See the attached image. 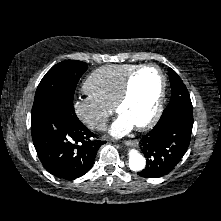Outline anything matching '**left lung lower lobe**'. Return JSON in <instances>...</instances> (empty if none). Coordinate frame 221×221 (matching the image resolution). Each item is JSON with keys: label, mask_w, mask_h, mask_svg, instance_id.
Masks as SVG:
<instances>
[{"label": "left lung lower lobe", "mask_w": 221, "mask_h": 221, "mask_svg": "<svg viewBox=\"0 0 221 221\" xmlns=\"http://www.w3.org/2000/svg\"><path fill=\"white\" fill-rule=\"evenodd\" d=\"M192 127V105L165 109L155 127L140 141L146 167L138 175L157 178L171 172L189 146Z\"/></svg>", "instance_id": "0a47b994"}]
</instances>
